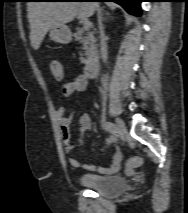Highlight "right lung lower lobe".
Segmentation results:
<instances>
[{"label":"right lung lower lobe","instance_id":"right-lung-lower-lobe-1","mask_svg":"<svg viewBox=\"0 0 188 213\" xmlns=\"http://www.w3.org/2000/svg\"><path fill=\"white\" fill-rule=\"evenodd\" d=\"M92 1H112L120 4L122 7L125 8L126 11L129 13L140 16L141 15V8L140 2L142 0H92Z\"/></svg>","mask_w":188,"mask_h":213}]
</instances>
